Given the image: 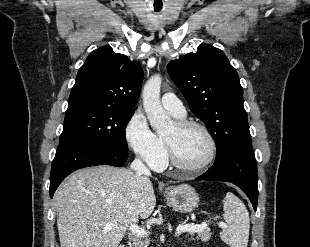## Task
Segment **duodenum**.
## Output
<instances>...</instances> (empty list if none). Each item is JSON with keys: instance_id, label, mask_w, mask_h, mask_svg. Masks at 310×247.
<instances>
[{"instance_id": "1", "label": "duodenum", "mask_w": 310, "mask_h": 247, "mask_svg": "<svg viewBox=\"0 0 310 247\" xmlns=\"http://www.w3.org/2000/svg\"><path fill=\"white\" fill-rule=\"evenodd\" d=\"M119 247H124L123 245H120Z\"/></svg>"}]
</instances>
